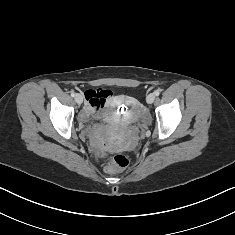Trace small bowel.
<instances>
[{
	"mask_svg": "<svg viewBox=\"0 0 235 235\" xmlns=\"http://www.w3.org/2000/svg\"><path fill=\"white\" fill-rule=\"evenodd\" d=\"M105 94H108V99L103 102L102 97ZM83 95L86 101V105L80 114L83 121H87L91 118L110 121L112 119L111 114L105 112L104 108L106 106H113L119 101H128V99L123 96H119L117 99L112 100L110 93L106 90H86Z\"/></svg>",
	"mask_w": 235,
	"mask_h": 235,
	"instance_id": "1",
	"label": "small bowel"
}]
</instances>
